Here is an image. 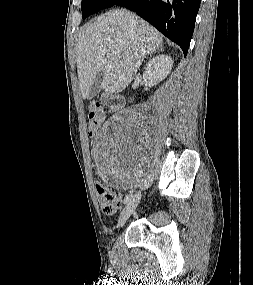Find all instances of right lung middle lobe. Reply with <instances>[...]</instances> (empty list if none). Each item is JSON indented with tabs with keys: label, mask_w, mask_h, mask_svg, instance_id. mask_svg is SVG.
Here are the masks:
<instances>
[{
	"label": "right lung middle lobe",
	"mask_w": 253,
	"mask_h": 285,
	"mask_svg": "<svg viewBox=\"0 0 253 285\" xmlns=\"http://www.w3.org/2000/svg\"><path fill=\"white\" fill-rule=\"evenodd\" d=\"M118 1L119 0H82V17L86 18L100 9L109 8Z\"/></svg>",
	"instance_id": "right-lung-middle-lobe-1"
}]
</instances>
